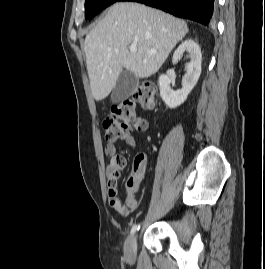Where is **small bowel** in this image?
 Returning <instances> with one entry per match:
<instances>
[{
    "label": "small bowel",
    "instance_id": "c3829d8e",
    "mask_svg": "<svg viewBox=\"0 0 265 269\" xmlns=\"http://www.w3.org/2000/svg\"><path fill=\"white\" fill-rule=\"evenodd\" d=\"M140 122L143 126L137 130L146 131L148 128L147 122L141 118ZM126 143L132 148L136 147V142L133 136H127ZM105 154L110 158V162L106 167L109 205L119 213L127 214L137 207L136 193L146 169V157L144 154H139L136 157L132 173L126 182V198L122 201L118 197L117 183L122 171L126 167V159L117 153L116 145L114 143L106 144Z\"/></svg>",
    "mask_w": 265,
    "mask_h": 269
}]
</instances>
